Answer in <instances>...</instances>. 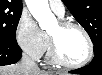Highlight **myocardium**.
<instances>
[{
    "label": "myocardium",
    "instance_id": "1",
    "mask_svg": "<svg viewBox=\"0 0 102 75\" xmlns=\"http://www.w3.org/2000/svg\"><path fill=\"white\" fill-rule=\"evenodd\" d=\"M57 24L59 30L62 32L68 30L69 28L79 29L86 38L88 51L86 57L81 62L79 63L68 62L60 54L56 37L53 34L49 33V49L52 61L60 66L68 68L79 67L89 62L93 56V42L88 31L81 24L72 20H60L58 21Z\"/></svg>",
    "mask_w": 102,
    "mask_h": 75
}]
</instances>
